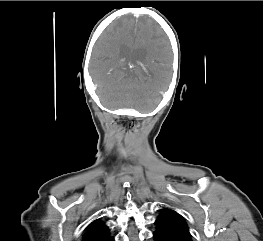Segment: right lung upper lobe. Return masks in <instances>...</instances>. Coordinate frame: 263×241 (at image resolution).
Returning a JSON list of instances; mask_svg holds the SVG:
<instances>
[{
  "label": "right lung upper lobe",
  "mask_w": 263,
  "mask_h": 241,
  "mask_svg": "<svg viewBox=\"0 0 263 241\" xmlns=\"http://www.w3.org/2000/svg\"><path fill=\"white\" fill-rule=\"evenodd\" d=\"M109 228L100 219L91 222L83 235L82 241H110Z\"/></svg>",
  "instance_id": "1"
}]
</instances>
